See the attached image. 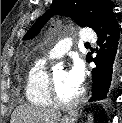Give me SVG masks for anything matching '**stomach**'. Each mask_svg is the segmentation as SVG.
Here are the masks:
<instances>
[{"label":"stomach","instance_id":"0dacf381","mask_svg":"<svg viewBox=\"0 0 122 123\" xmlns=\"http://www.w3.org/2000/svg\"><path fill=\"white\" fill-rule=\"evenodd\" d=\"M75 121H76V116L75 115H70V116H64L60 120V123H75Z\"/></svg>","mask_w":122,"mask_h":123}]
</instances>
